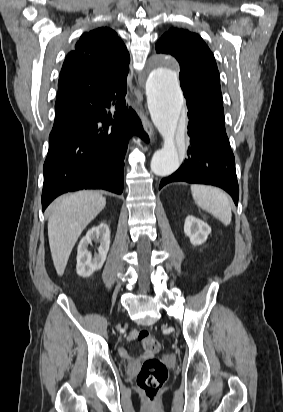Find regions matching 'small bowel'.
Segmentation results:
<instances>
[{"label":"small bowel","mask_w":283,"mask_h":412,"mask_svg":"<svg viewBox=\"0 0 283 412\" xmlns=\"http://www.w3.org/2000/svg\"><path fill=\"white\" fill-rule=\"evenodd\" d=\"M136 334H137L136 331H131L128 335V338H127L128 341L131 342V341L135 340ZM119 355L122 358L127 359V360H133L134 359L133 356L131 355L130 351L125 346H122V347L119 348Z\"/></svg>","instance_id":"1"}]
</instances>
